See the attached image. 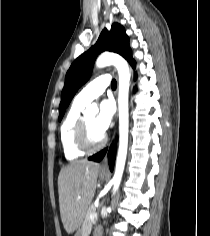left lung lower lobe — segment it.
Listing matches in <instances>:
<instances>
[{
  "mask_svg": "<svg viewBox=\"0 0 210 236\" xmlns=\"http://www.w3.org/2000/svg\"><path fill=\"white\" fill-rule=\"evenodd\" d=\"M108 152V148L102 150L101 152L91 156L89 158V160H93V161H101L104 156L106 155V153ZM109 167H110V170L113 171V168H114V162H115V150H114V147L111 146L110 150H109Z\"/></svg>",
  "mask_w": 210,
  "mask_h": 236,
  "instance_id": "1",
  "label": "left lung lower lobe"
}]
</instances>
